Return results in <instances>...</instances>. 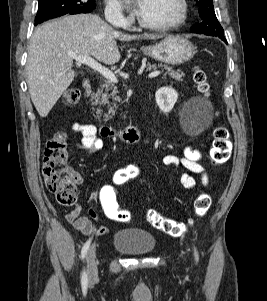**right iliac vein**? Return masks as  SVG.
Segmentation results:
<instances>
[{
    "label": "right iliac vein",
    "instance_id": "63e3f726",
    "mask_svg": "<svg viewBox=\"0 0 267 301\" xmlns=\"http://www.w3.org/2000/svg\"><path fill=\"white\" fill-rule=\"evenodd\" d=\"M87 273L89 280H94L98 276V268L96 262V245L93 244L86 254Z\"/></svg>",
    "mask_w": 267,
    "mask_h": 301
}]
</instances>
